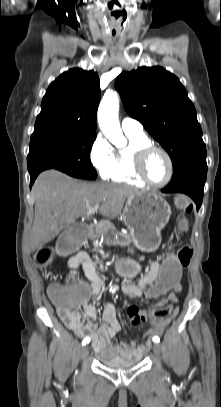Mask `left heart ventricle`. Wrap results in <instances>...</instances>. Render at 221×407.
<instances>
[{
	"mask_svg": "<svg viewBox=\"0 0 221 407\" xmlns=\"http://www.w3.org/2000/svg\"><path fill=\"white\" fill-rule=\"evenodd\" d=\"M146 172L154 182L164 181L169 174V163L160 152H153L147 159Z\"/></svg>",
	"mask_w": 221,
	"mask_h": 407,
	"instance_id": "b2bd125f",
	"label": "left heart ventricle"
}]
</instances>
